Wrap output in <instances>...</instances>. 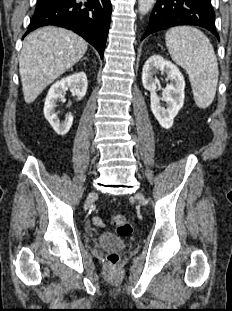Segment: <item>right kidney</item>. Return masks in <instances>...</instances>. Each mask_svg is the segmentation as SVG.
I'll return each instance as SVG.
<instances>
[{"label":"right kidney","instance_id":"ca27d5eb","mask_svg":"<svg viewBox=\"0 0 232 311\" xmlns=\"http://www.w3.org/2000/svg\"><path fill=\"white\" fill-rule=\"evenodd\" d=\"M88 81L84 72L75 73L57 81L51 86L45 99L44 116L58 135H65L73 123V116L67 114L64 121H60L55 113L56 102L69 88L75 91L78 97H84L87 91Z\"/></svg>","mask_w":232,"mask_h":311}]
</instances>
